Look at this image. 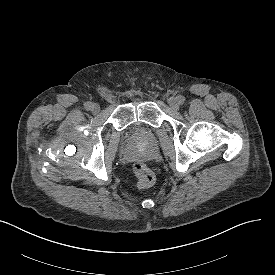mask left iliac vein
<instances>
[{
	"label": "left iliac vein",
	"instance_id": "4c4485c4",
	"mask_svg": "<svg viewBox=\"0 0 275 275\" xmlns=\"http://www.w3.org/2000/svg\"><path fill=\"white\" fill-rule=\"evenodd\" d=\"M168 103L171 106V108H173L174 110L179 109V105L180 104H179V101H178V99L176 97H170L168 99Z\"/></svg>",
	"mask_w": 275,
	"mask_h": 275
}]
</instances>
